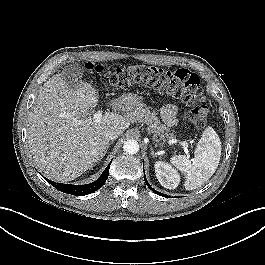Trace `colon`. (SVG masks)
<instances>
[{"label": "colon", "mask_w": 265, "mask_h": 265, "mask_svg": "<svg viewBox=\"0 0 265 265\" xmlns=\"http://www.w3.org/2000/svg\"><path fill=\"white\" fill-rule=\"evenodd\" d=\"M86 68L99 75L105 73L100 65L87 64ZM107 81L116 89H126L135 84L157 88L189 106L185 118L191 125L202 128L206 124L208 107L200 98L199 77L186 69L168 70L147 64L123 65L109 72Z\"/></svg>", "instance_id": "5ec220e1"}]
</instances>
